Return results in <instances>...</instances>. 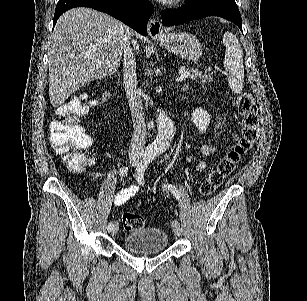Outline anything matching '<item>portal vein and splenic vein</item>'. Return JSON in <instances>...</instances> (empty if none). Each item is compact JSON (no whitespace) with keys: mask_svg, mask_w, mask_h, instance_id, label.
Segmentation results:
<instances>
[{"mask_svg":"<svg viewBox=\"0 0 307 301\" xmlns=\"http://www.w3.org/2000/svg\"><path fill=\"white\" fill-rule=\"evenodd\" d=\"M190 72H192V70H185V72H180V78H186V76H190Z\"/></svg>","mask_w":307,"mask_h":301,"instance_id":"portal-vein-and-splenic-vein-1","label":"portal vein and splenic vein"}]
</instances>
